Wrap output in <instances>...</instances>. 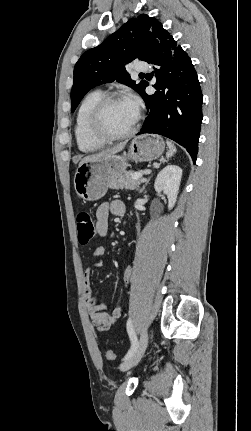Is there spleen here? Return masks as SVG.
Segmentation results:
<instances>
[{"mask_svg": "<svg viewBox=\"0 0 251 431\" xmlns=\"http://www.w3.org/2000/svg\"><path fill=\"white\" fill-rule=\"evenodd\" d=\"M166 144L169 147V151L166 153V157L168 159V158L172 157L176 153L177 150L171 141L167 140Z\"/></svg>", "mask_w": 251, "mask_h": 431, "instance_id": "1", "label": "spleen"}]
</instances>
